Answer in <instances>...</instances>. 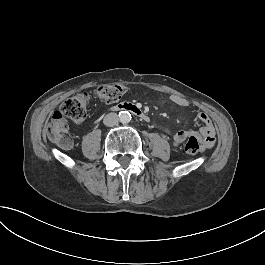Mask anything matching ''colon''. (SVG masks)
Listing matches in <instances>:
<instances>
[{"label":"colon","mask_w":265,"mask_h":265,"mask_svg":"<svg viewBox=\"0 0 265 265\" xmlns=\"http://www.w3.org/2000/svg\"><path fill=\"white\" fill-rule=\"evenodd\" d=\"M125 91L126 88L122 84L102 85L95 92H83L66 99L49 120L44 130L45 139L51 143H56L63 149L71 148L73 142L68 131L66 118H70L76 123H82L86 120L87 107L92 96L96 95L99 100L105 103H113ZM187 142L183 146L186 152H191L194 155L201 148L196 136L188 137Z\"/></svg>","instance_id":"colon-1"}]
</instances>
